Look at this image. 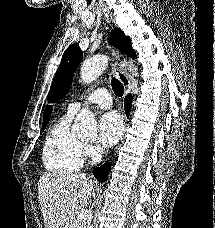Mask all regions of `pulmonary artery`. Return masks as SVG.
I'll return each instance as SVG.
<instances>
[{
    "label": "pulmonary artery",
    "instance_id": "obj_1",
    "mask_svg": "<svg viewBox=\"0 0 215 228\" xmlns=\"http://www.w3.org/2000/svg\"><path fill=\"white\" fill-rule=\"evenodd\" d=\"M101 89L95 90L87 95L81 102H71L68 105V112L77 113L83 106L96 104L101 108L107 109L112 105L110 94L103 89L107 88L106 84L100 85Z\"/></svg>",
    "mask_w": 215,
    "mask_h": 228
}]
</instances>
